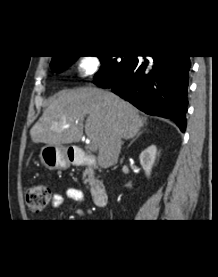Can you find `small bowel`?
I'll list each match as a JSON object with an SVG mask.
<instances>
[{
    "label": "small bowel",
    "mask_w": 218,
    "mask_h": 277,
    "mask_svg": "<svg viewBox=\"0 0 218 277\" xmlns=\"http://www.w3.org/2000/svg\"><path fill=\"white\" fill-rule=\"evenodd\" d=\"M66 198L79 203H84L86 201V196L80 189L71 187L66 189L64 194L55 193L53 195L52 201H51L52 209L54 210L60 209L64 205ZM78 214L80 216H83V211L78 210Z\"/></svg>",
    "instance_id": "obj_1"
}]
</instances>
